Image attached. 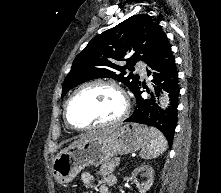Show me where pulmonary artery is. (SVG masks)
<instances>
[{
  "mask_svg": "<svg viewBox=\"0 0 221 193\" xmlns=\"http://www.w3.org/2000/svg\"><path fill=\"white\" fill-rule=\"evenodd\" d=\"M136 70H137V72H139L141 74V76L146 75V67H145L144 64H137L136 65Z\"/></svg>",
  "mask_w": 221,
  "mask_h": 193,
  "instance_id": "obj_1",
  "label": "pulmonary artery"
}]
</instances>
